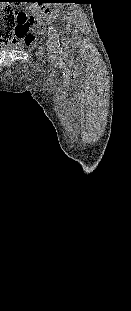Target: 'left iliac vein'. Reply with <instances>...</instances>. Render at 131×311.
Listing matches in <instances>:
<instances>
[{"instance_id":"1","label":"left iliac vein","mask_w":131,"mask_h":311,"mask_svg":"<svg viewBox=\"0 0 131 311\" xmlns=\"http://www.w3.org/2000/svg\"><path fill=\"white\" fill-rule=\"evenodd\" d=\"M48 49H49V51H51V47L50 46H48Z\"/></svg>"}]
</instances>
